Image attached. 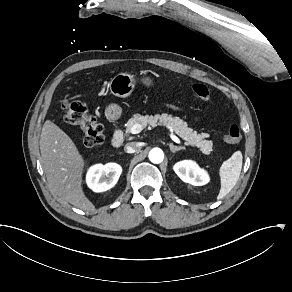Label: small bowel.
Returning <instances> with one entry per match:
<instances>
[{
    "mask_svg": "<svg viewBox=\"0 0 292 292\" xmlns=\"http://www.w3.org/2000/svg\"><path fill=\"white\" fill-rule=\"evenodd\" d=\"M170 109H173V110H177V111H180L181 109L177 106H174V105H169L168 106Z\"/></svg>",
    "mask_w": 292,
    "mask_h": 292,
    "instance_id": "small-bowel-1",
    "label": "small bowel"
}]
</instances>
